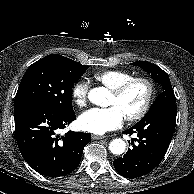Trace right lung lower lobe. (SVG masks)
<instances>
[{
	"instance_id": "right-lung-lower-lobe-1",
	"label": "right lung lower lobe",
	"mask_w": 194,
	"mask_h": 194,
	"mask_svg": "<svg viewBox=\"0 0 194 194\" xmlns=\"http://www.w3.org/2000/svg\"><path fill=\"white\" fill-rule=\"evenodd\" d=\"M75 119L73 109L58 112L39 104L14 108L17 144L35 171L60 177L77 168L84 147L91 141L90 134L69 131L62 137L56 136L58 129Z\"/></svg>"
}]
</instances>
